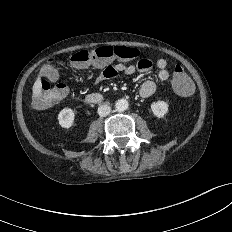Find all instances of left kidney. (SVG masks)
I'll use <instances>...</instances> for the list:
<instances>
[{
    "label": "left kidney",
    "mask_w": 232,
    "mask_h": 232,
    "mask_svg": "<svg viewBox=\"0 0 232 232\" xmlns=\"http://www.w3.org/2000/svg\"><path fill=\"white\" fill-rule=\"evenodd\" d=\"M151 110L156 117L163 118L168 112V104L164 101L153 102Z\"/></svg>",
    "instance_id": "1"
}]
</instances>
